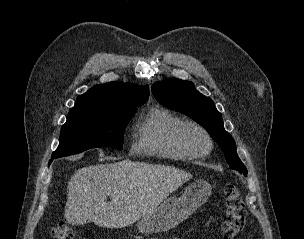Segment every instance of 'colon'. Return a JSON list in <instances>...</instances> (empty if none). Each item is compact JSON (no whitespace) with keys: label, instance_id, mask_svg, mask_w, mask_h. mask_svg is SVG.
Here are the masks:
<instances>
[{"label":"colon","instance_id":"colon-1","mask_svg":"<svg viewBox=\"0 0 304 239\" xmlns=\"http://www.w3.org/2000/svg\"><path fill=\"white\" fill-rule=\"evenodd\" d=\"M225 216L222 222L223 239H235L243 230L246 218L244 201L235 184L224 187ZM52 239H76L74 231L65 223H58L51 231Z\"/></svg>","mask_w":304,"mask_h":239}]
</instances>
